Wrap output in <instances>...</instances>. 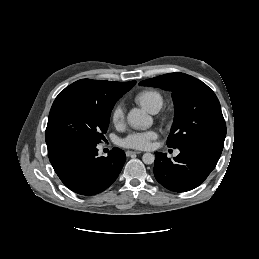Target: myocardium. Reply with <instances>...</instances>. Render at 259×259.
Instances as JSON below:
<instances>
[{"mask_svg":"<svg viewBox=\"0 0 259 259\" xmlns=\"http://www.w3.org/2000/svg\"><path fill=\"white\" fill-rule=\"evenodd\" d=\"M170 116L168 114H162L160 115V120L162 122H167L169 120Z\"/></svg>","mask_w":259,"mask_h":259,"instance_id":"myocardium-1","label":"myocardium"}]
</instances>
